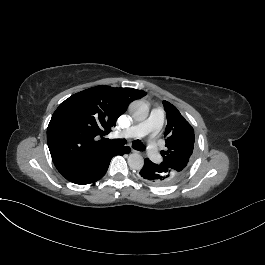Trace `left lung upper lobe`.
I'll use <instances>...</instances> for the list:
<instances>
[{
	"mask_svg": "<svg viewBox=\"0 0 265 265\" xmlns=\"http://www.w3.org/2000/svg\"><path fill=\"white\" fill-rule=\"evenodd\" d=\"M167 126L165 130L166 151H162V164L172 171L176 180L180 179L187 171L193 154L195 135L192 126L181 115L179 110L163 101Z\"/></svg>",
	"mask_w": 265,
	"mask_h": 265,
	"instance_id": "1",
	"label": "left lung upper lobe"
}]
</instances>
